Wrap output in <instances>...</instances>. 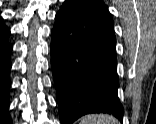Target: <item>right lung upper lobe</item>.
Wrapping results in <instances>:
<instances>
[{"label": "right lung upper lobe", "instance_id": "obj_1", "mask_svg": "<svg viewBox=\"0 0 156 124\" xmlns=\"http://www.w3.org/2000/svg\"><path fill=\"white\" fill-rule=\"evenodd\" d=\"M3 25V20L2 18L0 17V27Z\"/></svg>", "mask_w": 156, "mask_h": 124}]
</instances>
